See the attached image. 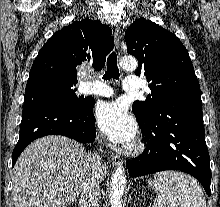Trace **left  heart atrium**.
<instances>
[{
  "label": "left heart atrium",
  "mask_w": 220,
  "mask_h": 207,
  "mask_svg": "<svg viewBox=\"0 0 220 207\" xmlns=\"http://www.w3.org/2000/svg\"><path fill=\"white\" fill-rule=\"evenodd\" d=\"M96 119L100 130L117 144L129 145L136 135V121L121 101L102 103Z\"/></svg>",
  "instance_id": "obj_1"
}]
</instances>
